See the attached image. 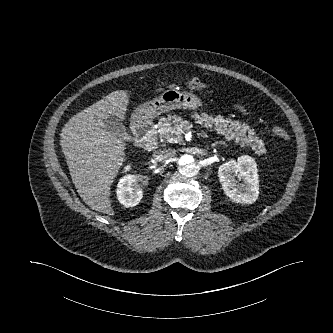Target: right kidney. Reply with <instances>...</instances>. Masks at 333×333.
Listing matches in <instances>:
<instances>
[{"label":"right kidney","mask_w":333,"mask_h":333,"mask_svg":"<svg viewBox=\"0 0 333 333\" xmlns=\"http://www.w3.org/2000/svg\"><path fill=\"white\" fill-rule=\"evenodd\" d=\"M129 169V168H127ZM137 175L124 176L117 185V198L125 207L136 206L143 196L142 184Z\"/></svg>","instance_id":"obj_1"}]
</instances>
